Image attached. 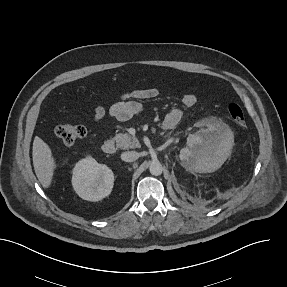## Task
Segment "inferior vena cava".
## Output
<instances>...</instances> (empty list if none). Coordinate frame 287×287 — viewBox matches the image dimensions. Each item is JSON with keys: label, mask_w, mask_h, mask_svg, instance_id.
<instances>
[{"label": "inferior vena cava", "mask_w": 287, "mask_h": 287, "mask_svg": "<svg viewBox=\"0 0 287 287\" xmlns=\"http://www.w3.org/2000/svg\"><path fill=\"white\" fill-rule=\"evenodd\" d=\"M139 158V154L136 151H127L121 154V159L125 162H133Z\"/></svg>", "instance_id": "inferior-vena-cava-1"}]
</instances>
